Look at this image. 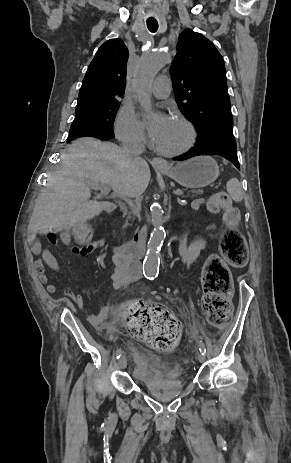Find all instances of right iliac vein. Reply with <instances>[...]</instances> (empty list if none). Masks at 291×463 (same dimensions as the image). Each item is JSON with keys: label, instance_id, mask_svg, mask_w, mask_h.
Listing matches in <instances>:
<instances>
[{"label": "right iliac vein", "instance_id": "right-iliac-vein-1", "mask_svg": "<svg viewBox=\"0 0 291 463\" xmlns=\"http://www.w3.org/2000/svg\"><path fill=\"white\" fill-rule=\"evenodd\" d=\"M118 365L121 369H125L127 366V359L124 355H122L118 360Z\"/></svg>", "mask_w": 291, "mask_h": 463}]
</instances>
